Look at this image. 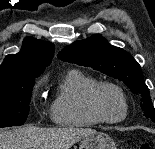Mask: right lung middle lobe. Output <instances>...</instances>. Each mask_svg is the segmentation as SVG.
Instances as JSON below:
<instances>
[{"label": "right lung middle lobe", "mask_w": 155, "mask_h": 149, "mask_svg": "<svg viewBox=\"0 0 155 149\" xmlns=\"http://www.w3.org/2000/svg\"><path fill=\"white\" fill-rule=\"evenodd\" d=\"M36 77L0 79V128L24 124Z\"/></svg>", "instance_id": "1"}]
</instances>
